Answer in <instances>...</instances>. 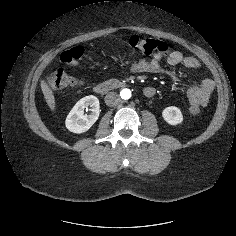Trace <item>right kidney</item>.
<instances>
[{
    "mask_svg": "<svg viewBox=\"0 0 236 236\" xmlns=\"http://www.w3.org/2000/svg\"><path fill=\"white\" fill-rule=\"evenodd\" d=\"M91 107V113L84 114V110ZM100 113V104L96 96L90 95L80 99L68 114L65 125L73 133H83L96 122Z\"/></svg>",
    "mask_w": 236,
    "mask_h": 236,
    "instance_id": "1",
    "label": "right kidney"
}]
</instances>
